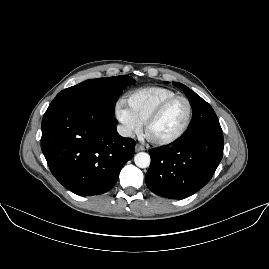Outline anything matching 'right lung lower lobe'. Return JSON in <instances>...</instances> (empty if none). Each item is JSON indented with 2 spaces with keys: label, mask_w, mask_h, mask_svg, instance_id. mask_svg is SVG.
Here are the masks:
<instances>
[{
  "label": "right lung lower lobe",
  "mask_w": 269,
  "mask_h": 269,
  "mask_svg": "<svg viewBox=\"0 0 269 269\" xmlns=\"http://www.w3.org/2000/svg\"><path fill=\"white\" fill-rule=\"evenodd\" d=\"M114 113L94 105L53 100L42 120L41 148L54 177L77 195L109 191L135 152L116 131Z\"/></svg>",
  "instance_id": "obj_1"
}]
</instances>
